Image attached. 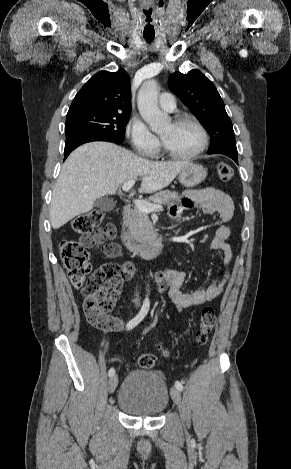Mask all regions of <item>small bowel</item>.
Returning a JSON list of instances; mask_svg holds the SVG:
<instances>
[{"mask_svg":"<svg viewBox=\"0 0 291 469\" xmlns=\"http://www.w3.org/2000/svg\"><path fill=\"white\" fill-rule=\"evenodd\" d=\"M194 206H199L205 214H218L222 224L217 228L214 237L210 242V248L220 250L223 253V262L225 265V273L221 280H214L208 287L185 293L183 284L185 281V273L175 268H165L156 274V281L159 291L167 292L172 303L179 310H186L194 306L202 305L217 298L223 291L228 279V267L232 259V250L227 240L231 234L228 222L234 214V205L231 198L223 191L208 187L200 190L187 191L179 205H175L170 209V216L174 219L179 218L183 211ZM115 235V228L109 224L100 229L94 236L91 247L98 248L108 257H116L118 255H110L106 252L109 241ZM110 287V285H109ZM122 282L117 290H113L115 301L120 296ZM113 326L108 331L120 332L125 327V322L117 317H112Z\"/></svg>","mask_w":291,"mask_h":469,"instance_id":"obj_1","label":"small bowel"}]
</instances>
